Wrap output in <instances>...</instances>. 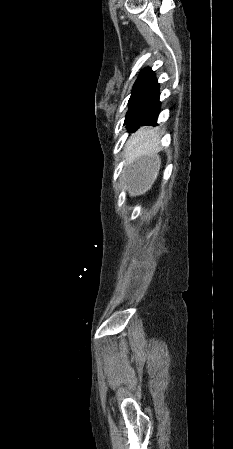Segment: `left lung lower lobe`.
I'll return each mask as SVG.
<instances>
[{"instance_id":"left-lung-lower-lobe-1","label":"left lung lower lobe","mask_w":233,"mask_h":449,"mask_svg":"<svg viewBox=\"0 0 233 449\" xmlns=\"http://www.w3.org/2000/svg\"><path fill=\"white\" fill-rule=\"evenodd\" d=\"M160 104L161 103H160L159 97H158L157 100L155 101V103L150 107V109L144 115V120L140 126H145V125L156 126L157 125V119H158V115L160 112ZM135 131L132 130L130 132H135Z\"/></svg>"}]
</instances>
